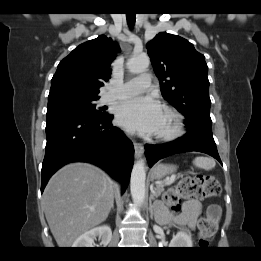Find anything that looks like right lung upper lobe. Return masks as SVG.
Instances as JSON below:
<instances>
[{"instance_id":"1","label":"right lung upper lobe","mask_w":261,"mask_h":261,"mask_svg":"<svg viewBox=\"0 0 261 261\" xmlns=\"http://www.w3.org/2000/svg\"><path fill=\"white\" fill-rule=\"evenodd\" d=\"M119 47L100 35L76 47L58 65L48 98L62 93L99 97V88L110 79V65Z\"/></svg>"}]
</instances>
